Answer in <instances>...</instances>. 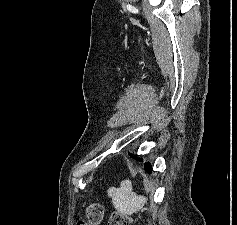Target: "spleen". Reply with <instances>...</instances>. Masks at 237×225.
Wrapping results in <instances>:
<instances>
[{"instance_id": "1", "label": "spleen", "mask_w": 237, "mask_h": 225, "mask_svg": "<svg viewBox=\"0 0 237 225\" xmlns=\"http://www.w3.org/2000/svg\"><path fill=\"white\" fill-rule=\"evenodd\" d=\"M107 193L112 198L114 208L124 215H131L141 210L146 203L145 197L132 192L131 182L127 180L122 181L119 188H109Z\"/></svg>"}]
</instances>
